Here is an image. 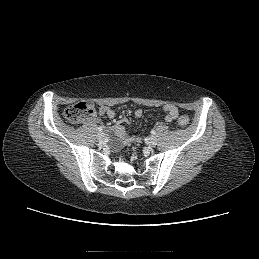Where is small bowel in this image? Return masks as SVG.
Segmentation results:
<instances>
[{
  "instance_id": "1",
  "label": "small bowel",
  "mask_w": 259,
  "mask_h": 259,
  "mask_svg": "<svg viewBox=\"0 0 259 259\" xmlns=\"http://www.w3.org/2000/svg\"><path fill=\"white\" fill-rule=\"evenodd\" d=\"M163 110L165 112L166 121L171 122V121L177 120L178 110H177L176 106H174L172 104H165L163 106ZM99 112H100V114H105L107 117H109L111 119H113L116 116L115 111L111 107H107V106L101 107ZM142 115H143V111L141 109H137L135 111V116L137 118H140ZM112 132L117 137V139L124 144L136 142L139 140L137 138L129 136L127 131L120 124L114 125L112 127Z\"/></svg>"
}]
</instances>
